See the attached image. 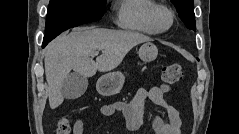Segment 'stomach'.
<instances>
[{
	"label": "stomach",
	"mask_w": 239,
	"mask_h": 134,
	"mask_svg": "<svg viewBox=\"0 0 239 134\" xmlns=\"http://www.w3.org/2000/svg\"><path fill=\"white\" fill-rule=\"evenodd\" d=\"M139 57L143 62L153 61L158 54V49L152 42H145L139 49ZM125 81V76L117 71L101 76L97 81V90L101 95L110 96L118 93Z\"/></svg>",
	"instance_id": "obj_1"
}]
</instances>
